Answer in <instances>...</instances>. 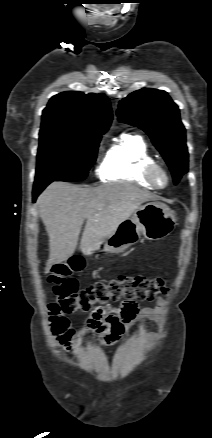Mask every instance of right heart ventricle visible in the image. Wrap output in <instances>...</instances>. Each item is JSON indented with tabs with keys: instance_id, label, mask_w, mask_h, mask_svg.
Returning <instances> with one entry per match:
<instances>
[{
	"instance_id": "e07e8e85",
	"label": "right heart ventricle",
	"mask_w": 212,
	"mask_h": 438,
	"mask_svg": "<svg viewBox=\"0 0 212 438\" xmlns=\"http://www.w3.org/2000/svg\"><path fill=\"white\" fill-rule=\"evenodd\" d=\"M155 161L144 138L125 134L108 149L103 161V176L108 181L131 182L146 189H154L142 175L144 167Z\"/></svg>"
}]
</instances>
